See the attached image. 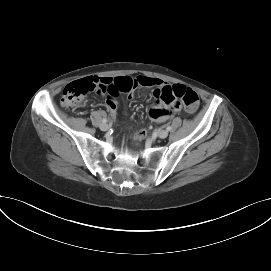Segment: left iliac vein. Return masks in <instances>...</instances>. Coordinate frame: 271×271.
Here are the masks:
<instances>
[{
    "label": "left iliac vein",
    "instance_id": "left-iliac-vein-1",
    "mask_svg": "<svg viewBox=\"0 0 271 271\" xmlns=\"http://www.w3.org/2000/svg\"><path fill=\"white\" fill-rule=\"evenodd\" d=\"M157 136L161 139H164L168 136V132L166 130H159L157 132Z\"/></svg>",
    "mask_w": 271,
    "mask_h": 271
}]
</instances>
